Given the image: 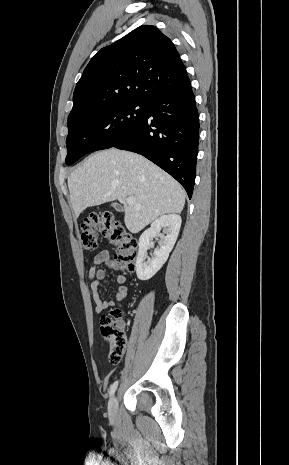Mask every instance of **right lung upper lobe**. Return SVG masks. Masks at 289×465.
Returning <instances> with one entry per match:
<instances>
[{
    "instance_id": "1",
    "label": "right lung upper lobe",
    "mask_w": 289,
    "mask_h": 465,
    "mask_svg": "<svg viewBox=\"0 0 289 465\" xmlns=\"http://www.w3.org/2000/svg\"><path fill=\"white\" fill-rule=\"evenodd\" d=\"M190 84L174 44L155 26L144 25L92 57L73 93L68 129L98 103L146 100Z\"/></svg>"
}]
</instances>
